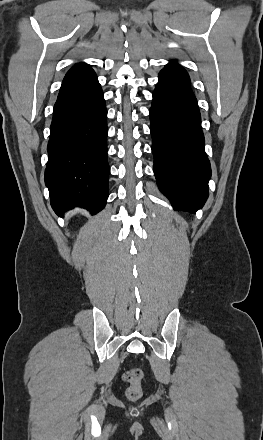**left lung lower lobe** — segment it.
<instances>
[{"mask_svg": "<svg viewBox=\"0 0 263 440\" xmlns=\"http://www.w3.org/2000/svg\"><path fill=\"white\" fill-rule=\"evenodd\" d=\"M149 114L157 184L175 210L195 213L207 200L211 167L189 75L175 61L159 73Z\"/></svg>", "mask_w": 263, "mask_h": 440, "instance_id": "1", "label": "left lung lower lobe"}]
</instances>
